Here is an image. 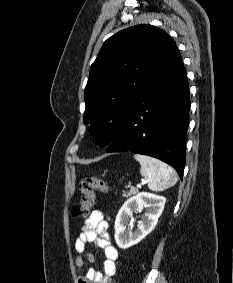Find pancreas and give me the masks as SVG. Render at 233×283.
Masks as SVG:
<instances>
[{
    "instance_id": "pancreas-1",
    "label": "pancreas",
    "mask_w": 233,
    "mask_h": 283,
    "mask_svg": "<svg viewBox=\"0 0 233 283\" xmlns=\"http://www.w3.org/2000/svg\"><path fill=\"white\" fill-rule=\"evenodd\" d=\"M138 192H139L138 189L131 188L130 191H124L123 192V197L128 198L132 195H136Z\"/></svg>"
}]
</instances>
